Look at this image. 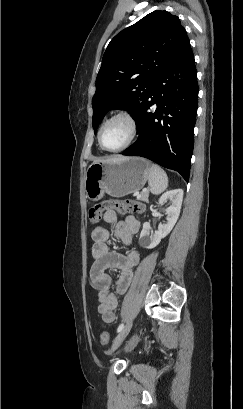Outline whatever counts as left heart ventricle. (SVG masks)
Returning a JSON list of instances; mask_svg holds the SVG:
<instances>
[{"instance_id":"1","label":"left heart ventricle","mask_w":243,"mask_h":409,"mask_svg":"<svg viewBox=\"0 0 243 409\" xmlns=\"http://www.w3.org/2000/svg\"><path fill=\"white\" fill-rule=\"evenodd\" d=\"M130 135L129 125L122 119L108 123L102 131V142L109 149L122 146Z\"/></svg>"}]
</instances>
